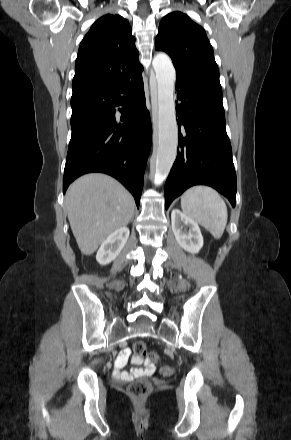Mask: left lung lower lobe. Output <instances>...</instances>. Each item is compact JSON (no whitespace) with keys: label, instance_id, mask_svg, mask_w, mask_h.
Listing matches in <instances>:
<instances>
[{"label":"left lung lower lobe","instance_id":"obj_1","mask_svg":"<svg viewBox=\"0 0 291 440\" xmlns=\"http://www.w3.org/2000/svg\"><path fill=\"white\" fill-rule=\"evenodd\" d=\"M178 155L165 184V207L187 188L204 184L236 204V173L226 133L222 92L176 78Z\"/></svg>","mask_w":291,"mask_h":440}]
</instances>
